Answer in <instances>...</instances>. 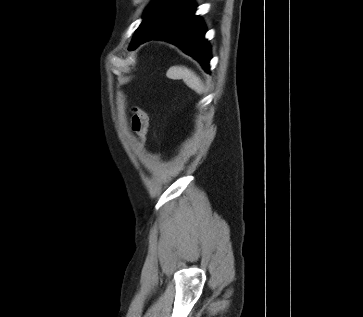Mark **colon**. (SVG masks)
<instances>
[{
    "mask_svg": "<svg viewBox=\"0 0 363 317\" xmlns=\"http://www.w3.org/2000/svg\"><path fill=\"white\" fill-rule=\"evenodd\" d=\"M148 118L146 112L140 107L132 108L131 127L132 131L143 142L147 132Z\"/></svg>",
    "mask_w": 363,
    "mask_h": 317,
    "instance_id": "colon-1",
    "label": "colon"
}]
</instances>
